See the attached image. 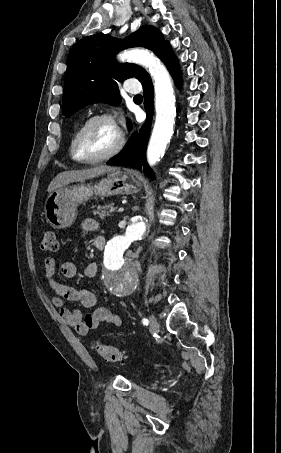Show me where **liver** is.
I'll use <instances>...</instances> for the list:
<instances>
[{
    "mask_svg": "<svg viewBox=\"0 0 281 453\" xmlns=\"http://www.w3.org/2000/svg\"><path fill=\"white\" fill-rule=\"evenodd\" d=\"M114 170H119L118 166H106V164H99V166L86 168V170H64V172H59V174L51 180L47 190L48 192H52V190H56V188H61V186H65V184H70V182L95 178V176L106 174V172H114Z\"/></svg>",
    "mask_w": 281,
    "mask_h": 453,
    "instance_id": "obj_1",
    "label": "liver"
}]
</instances>
